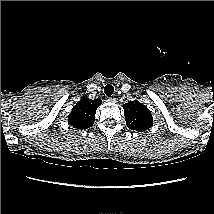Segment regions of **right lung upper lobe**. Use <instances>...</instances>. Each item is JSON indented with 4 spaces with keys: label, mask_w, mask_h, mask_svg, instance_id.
I'll return each mask as SVG.
<instances>
[{
    "label": "right lung upper lobe",
    "mask_w": 214,
    "mask_h": 214,
    "mask_svg": "<svg viewBox=\"0 0 214 214\" xmlns=\"http://www.w3.org/2000/svg\"><path fill=\"white\" fill-rule=\"evenodd\" d=\"M101 103L100 99L92 100L83 97L73 107L68 117V123L76 129L91 127L94 124L96 109Z\"/></svg>",
    "instance_id": "cb5924a9"
}]
</instances>
